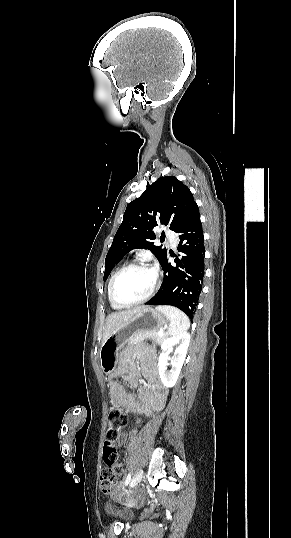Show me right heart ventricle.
Returning <instances> with one entry per match:
<instances>
[{"mask_svg": "<svg viewBox=\"0 0 291 538\" xmlns=\"http://www.w3.org/2000/svg\"><path fill=\"white\" fill-rule=\"evenodd\" d=\"M124 266H126V264H121V265H119V266L114 270V272L112 273V275H111V277H110V279H109L108 285H107L108 299H109V301H110V304H111L112 307H114V308H119V307L115 306V305L112 303L111 299H110V284H111V281H112L113 277L115 276V274H116L120 269H122Z\"/></svg>", "mask_w": 291, "mask_h": 538, "instance_id": "obj_1", "label": "right heart ventricle"}]
</instances>
